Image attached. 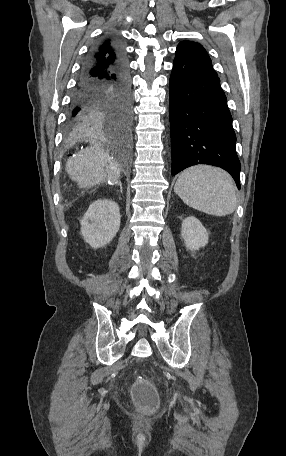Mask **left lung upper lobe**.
Instances as JSON below:
<instances>
[{
  "label": "left lung upper lobe",
  "instance_id": "obj_1",
  "mask_svg": "<svg viewBox=\"0 0 286 456\" xmlns=\"http://www.w3.org/2000/svg\"><path fill=\"white\" fill-rule=\"evenodd\" d=\"M174 61L197 65L215 73L205 49L193 41H182L178 44Z\"/></svg>",
  "mask_w": 286,
  "mask_h": 456
}]
</instances>
